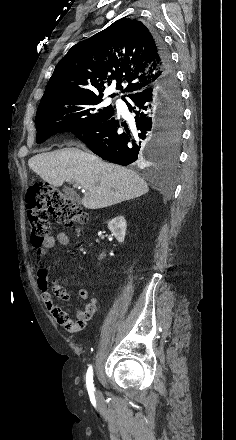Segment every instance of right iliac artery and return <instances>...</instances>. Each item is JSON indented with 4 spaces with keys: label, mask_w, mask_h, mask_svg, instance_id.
I'll list each match as a JSON object with an SVG mask.
<instances>
[{
    "label": "right iliac artery",
    "mask_w": 236,
    "mask_h": 440,
    "mask_svg": "<svg viewBox=\"0 0 236 440\" xmlns=\"http://www.w3.org/2000/svg\"><path fill=\"white\" fill-rule=\"evenodd\" d=\"M86 387L89 393H93L95 391L94 384H93V368L92 366H89L87 373H86Z\"/></svg>",
    "instance_id": "right-iliac-artery-1"
}]
</instances>
